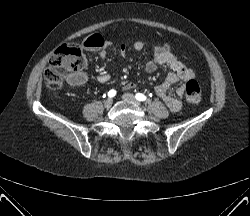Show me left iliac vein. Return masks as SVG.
<instances>
[{
	"label": "left iliac vein",
	"mask_w": 250,
	"mask_h": 216,
	"mask_svg": "<svg viewBox=\"0 0 250 216\" xmlns=\"http://www.w3.org/2000/svg\"><path fill=\"white\" fill-rule=\"evenodd\" d=\"M122 98L124 100H126V101L134 102V103L140 105V103L137 101L136 97L133 94H131V93H125V94H123Z\"/></svg>",
	"instance_id": "obj_1"
}]
</instances>
